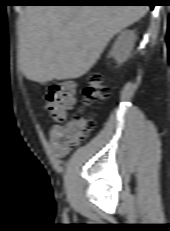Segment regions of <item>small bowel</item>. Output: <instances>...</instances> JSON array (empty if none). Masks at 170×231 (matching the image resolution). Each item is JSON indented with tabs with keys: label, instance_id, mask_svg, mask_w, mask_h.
I'll return each mask as SVG.
<instances>
[{
	"label": "small bowel",
	"instance_id": "obj_1",
	"mask_svg": "<svg viewBox=\"0 0 170 231\" xmlns=\"http://www.w3.org/2000/svg\"><path fill=\"white\" fill-rule=\"evenodd\" d=\"M49 148L52 154L58 158H63L69 154L71 147L63 140V128L60 125H54L49 130Z\"/></svg>",
	"mask_w": 170,
	"mask_h": 231
}]
</instances>
